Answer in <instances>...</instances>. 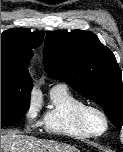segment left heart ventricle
Here are the masks:
<instances>
[{"label": "left heart ventricle", "instance_id": "left-heart-ventricle-1", "mask_svg": "<svg viewBox=\"0 0 123 152\" xmlns=\"http://www.w3.org/2000/svg\"><path fill=\"white\" fill-rule=\"evenodd\" d=\"M88 123L95 132H101L105 126L102 117L97 113H90Z\"/></svg>", "mask_w": 123, "mask_h": 152}]
</instances>
